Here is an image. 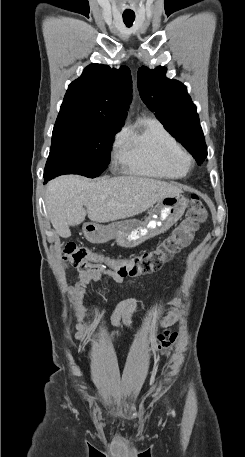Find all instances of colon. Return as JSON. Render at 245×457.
<instances>
[{
	"label": "colon",
	"mask_w": 245,
	"mask_h": 457,
	"mask_svg": "<svg viewBox=\"0 0 245 457\" xmlns=\"http://www.w3.org/2000/svg\"><path fill=\"white\" fill-rule=\"evenodd\" d=\"M207 211L203 201L193 196L185 219L170 235L156 248L144 251L138 255L125 259H111L92 252L84 244L66 242L62 247L64 259L69 261L80 271L90 269L109 268L121 277H136L153 272L163 261L177 254L187 240L193 235L196 228L206 217ZM177 338L174 330H165L157 336L154 350L165 354Z\"/></svg>",
	"instance_id": "5ec220e1"
}]
</instances>
